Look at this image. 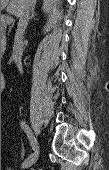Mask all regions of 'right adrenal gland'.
I'll return each instance as SVG.
<instances>
[{"instance_id":"2a0ac1e0","label":"right adrenal gland","mask_w":109,"mask_h":170,"mask_svg":"<svg viewBox=\"0 0 109 170\" xmlns=\"http://www.w3.org/2000/svg\"><path fill=\"white\" fill-rule=\"evenodd\" d=\"M35 6H36V0L34 2V4L32 5V8H31V16H30V19H33V17L35 16Z\"/></svg>"}]
</instances>
